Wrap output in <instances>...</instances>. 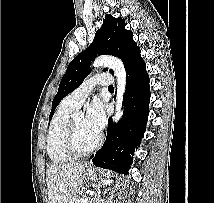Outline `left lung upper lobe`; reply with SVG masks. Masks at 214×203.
Masks as SVG:
<instances>
[{"label":"left lung upper lobe","instance_id":"5c2ea615","mask_svg":"<svg viewBox=\"0 0 214 203\" xmlns=\"http://www.w3.org/2000/svg\"><path fill=\"white\" fill-rule=\"evenodd\" d=\"M125 25L124 19L114 18L112 15L105 16L102 27L95 34L93 43L69 63L58 92L53 99L49 121L61 100L79 87L86 76L90 74V63L96 54L118 56L126 68L133 56L140 51L137 43L133 40L132 32L126 30ZM106 70L103 69V71ZM110 71L113 73L112 70Z\"/></svg>","mask_w":214,"mask_h":203}]
</instances>
